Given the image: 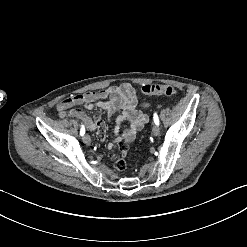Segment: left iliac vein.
I'll return each mask as SVG.
<instances>
[{"label":"left iliac vein","mask_w":247,"mask_h":247,"mask_svg":"<svg viewBox=\"0 0 247 247\" xmlns=\"http://www.w3.org/2000/svg\"><path fill=\"white\" fill-rule=\"evenodd\" d=\"M152 134L154 136H159L160 135V128L158 125H154L153 128H152Z\"/></svg>","instance_id":"obj_1"}]
</instances>
